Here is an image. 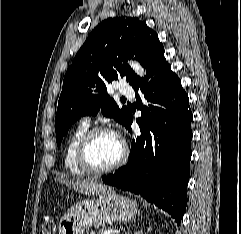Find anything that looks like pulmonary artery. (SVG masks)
<instances>
[{
  "label": "pulmonary artery",
  "instance_id": "obj_1",
  "mask_svg": "<svg viewBox=\"0 0 241 234\" xmlns=\"http://www.w3.org/2000/svg\"><path fill=\"white\" fill-rule=\"evenodd\" d=\"M118 90H119L120 94L128 96V97H132L133 93H134L133 89L126 84L120 85ZM81 122L89 124L90 117H88V116L83 117Z\"/></svg>",
  "mask_w": 241,
  "mask_h": 234
}]
</instances>
